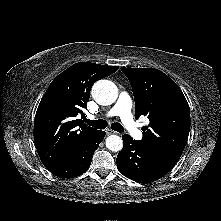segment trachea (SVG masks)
I'll return each instance as SVG.
<instances>
[{
	"mask_svg": "<svg viewBox=\"0 0 221 221\" xmlns=\"http://www.w3.org/2000/svg\"><path fill=\"white\" fill-rule=\"evenodd\" d=\"M85 122L96 128V129H105L106 126H107V122L105 120H89V119H85ZM111 128L114 130V131H117V132H120L122 133L124 131L122 125L120 123H113L111 125Z\"/></svg>",
	"mask_w": 221,
	"mask_h": 221,
	"instance_id": "obj_1",
	"label": "trachea"
}]
</instances>
